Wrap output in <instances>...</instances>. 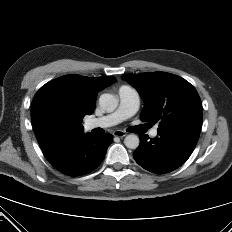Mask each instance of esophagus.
Instances as JSON below:
<instances>
[{"mask_svg": "<svg viewBox=\"0 0 232 232\" xmlns=\"http://www.w3.org/2000/svg\"><path fill=\"white\" fill-rule=\"evenodd\" d=\"M113 136L122 138L126 136V132L123 130H115L113 131Z\"/></svg>", "mask_w": 232, "mask_h": 232, "instance_id": "obj_1", "label": "esophagus"}]
</instances>
